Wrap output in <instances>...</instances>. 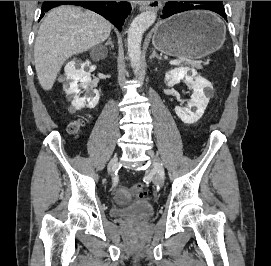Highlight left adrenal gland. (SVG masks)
<instances>
[{
    "label": "left adrenal gland",
    "instance_id": "obj_1",
    "mask_svg": "<svg viewBox=\"0 0 271 266\" xmlns=\"http://www.w3.org/2000/svg\"><path fill=\"white\" fill-rule=\"evenodd\" d=\"M158 59V60H162V57L161 56H158V54L156 53L155 49H152V54L150 56V59Z\"/></svg>",
    "mask_w": 271,
    "mask_h": 266
}]
</instances>
